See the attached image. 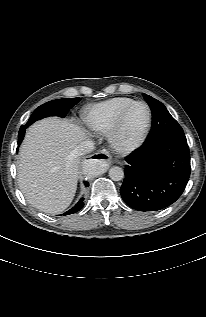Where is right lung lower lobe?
Listing matches in <instances>:
<instances>
[{"mask_svg": "<svg viewBox=\"0 0 206 317\" xmlns=\"http://www.w3.org/2000/svg\"><path fill=\"white\" fill-rule=\"evenodd\" d=\"M85 185L87 187L88 186V182H86ZM83 206H84V198H81L79 200V202L72 209H70L69 211L64 213V215H70V214L76 213L79 210H81L83 208Z\"/></svg>", "mask_w": 206, "mask_h": 317, "instance_id": "98d812e1", "label": "right lung lower lobe"}]
</instances>
